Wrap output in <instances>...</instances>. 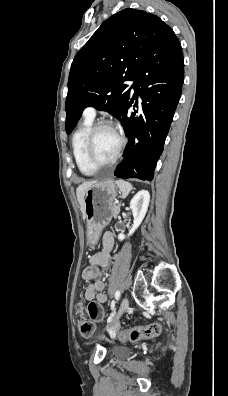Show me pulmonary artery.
<instances>
[{
	"mask_svg": "<svg viewBox=\"0 0 228 396\" xmlns=\"http://www.w3.org/2000/svg\"><path fill=\"white\" fill-rule=\"evenodd\" d=\"M130 84H134V81H131ZM96 111L93 107H87L84 111V115L86 117L94 118Z\"/></svg>",
	"mask_w": 228,
	"mask_h": 396,
	"instance_id": "pulmonary-artery-1",
	"label": "pulmonary artery"
}]
</instances>
